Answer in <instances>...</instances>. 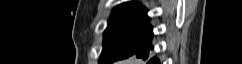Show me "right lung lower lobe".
<instances>
[{"label": "right lung lower lobe", "instance_id": "98d812e1", "mask_svg": "<svg viewBox=\"0 0 242 64\" xmlns=\"http://www.w3.org/2000/svg\"><path fill=\"white\" fill-rule=\"evenodd\" d=\"M151 50H153V46H151V45L149 44L147 47H145V48L141 49L140 51H138V52L136 53V56H137L138 58H142L143 60H147V59L150 57V55H151ZM154 62L157 63V60L155 61V57H154V58H151V59L148 61V64H149V63H154Z\"/></svg>", "mask_w": 242, "mask_h": 64}]
</instances>
